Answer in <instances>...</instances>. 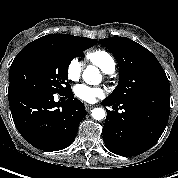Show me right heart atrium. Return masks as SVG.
<instances>
[{"instance_id": "d8ad5b80", "label": "right heart atrium", "mask_w": 178, "mask_h": 178, "mask_svg": "<svg viewBox=\"0 0 178 178\" xmlns=\"http://www.w3.org/2000/svg\"><path fill=\"white\" fill-rule=\"evenodd\" d=\"M82 71V63L79 59L73 58L67 65V76L71 81H77Z\"/></svg>"}]
</instances>
